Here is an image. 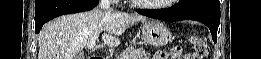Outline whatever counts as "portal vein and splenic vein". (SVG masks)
<instances>
[{"instance_id": "1", "label": "portal vein and splenic vein", "mask_w": 261, "mask_h": 59, "mask_svg": "<svg viewBox=\"0 0 261 59\" xmlns=\"http://www.w3.org/2000/svg\"><path fill=\"white\" fill-rule=\"evenodd\" d=\"M95 46H96L95 40H92L91 42H89V43L87 44V47H88L89 49H93Z\"/></svg>"}]
</instances>
